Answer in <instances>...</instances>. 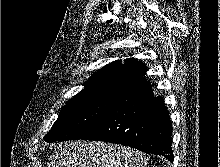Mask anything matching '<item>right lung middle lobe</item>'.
Returning <instances> with one entry per match:
<instances>
[{
    "label": "right lung middle lobe",
    "instance_id": "1",
    "mask_svg": "<svg viewBox=\"0 0 220 167\" xmlns=\"http://www.w3.org/2000/svg\"><path fill=\"white\" fill-rule=\"evenodd\" d=\"M113 101L104 97L71 99L60 110L44 140L55 142L83 138L104 118Z\"/></svg>",
    "mask_w": 220,
    "mask_h": 167
}]
</instances>
